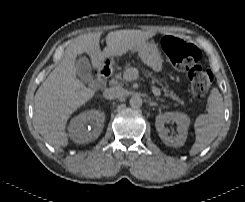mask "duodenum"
I'll return each instance as SVG.
<instances>
[{
    "mask_svg": "<svg viewBox=\"0 0 245 202\" xmlns=\"http://www.w3.org/2000/svg\"><path fill=\"white\" fill-rule=\"evenodd\" d=\"M110 76H111V67L109 64V59L107 57H103V59L101 60L100 67L97 71V80L100 86L102 87L105 86Z\"/></svg>",
    "mask_w": 245,
    "mask_h": 202,
    "instance_id": "1",
    "label": "duodenum"
}]
</instances>
